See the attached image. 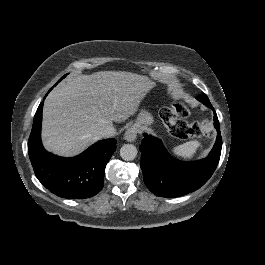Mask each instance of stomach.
Masks as SVG:
<instances>
[{
  "mask_svg": "<svg viewBox=\"0 0 265 265\" xmlns=\"http://www.w3.org/2000/svg\"><path fill=\"white\" fill-rule=\"evenodd\" d=\"M154 116L145 107L139 109L135 123L131 128H139L142 132H148V127L153 125Z\"/></svg>",
  "mask_w": 265,
  "mask_h": 265,
  "instance_id": "1",
  "label": "stomach"
}]
</instances>
